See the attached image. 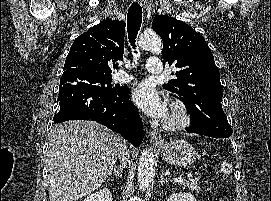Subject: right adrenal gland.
<instances>
[{
    "label": "right adrenal gland",
    "instance_id": "1",
    "mask_svg": "<svg viewBox=\"0 0 271 201\" xmlns=\"http://www.w3.org/2000/svg\"><path fill=\"white\" fill-rule=\"evenodd\" d=\"M122 173H123V168H120L118 166L116 169L114 168V172H110L108 175L115 176L116 179H119L122 177Z\"/></svg>",
    "mask_w": 271,
    "mask_h": 201
}]
</instances>
